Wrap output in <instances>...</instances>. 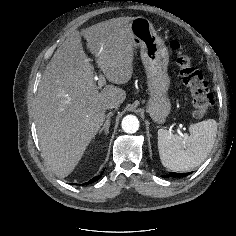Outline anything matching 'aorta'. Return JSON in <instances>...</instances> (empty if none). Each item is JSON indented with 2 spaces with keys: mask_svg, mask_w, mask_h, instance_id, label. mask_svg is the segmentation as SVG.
Returning <instances> with one entry per match:
<instances>
[{
  "mask_svg": "<svg viewBox=\"0 0 236 236\" xmlns=\"http://www.w3.org/2000/svg\"><path fill=\"white\" fill-rule=\"evenodd\" d=\"M121 125L124 132L132 134L139 129V120L134 115H127L123 118Z\"/></svg>",
  "mask_w": 236,
  "mask_h": 236,
  "instance_id": "aorta-1",
  "label": "aorta"
}]
</instances>
